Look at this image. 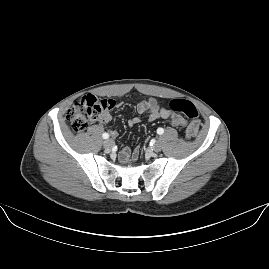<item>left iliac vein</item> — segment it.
I'll return each mask as SVG.
<instances>
[{"instance_id":"4c4485c4","label":"left iliac vein","mask_w":269,"mask_h":269,"mask_svg":"<svg viewBox=\"0 0 269 269\" xmlns=\"http://www.w3.org/2000/svg\"><path fill=\"white\" fill-rule=\"evenodd\" d=\"M153 148L156 152H160L162 150V143L159 141V139L156 141Z\"/></svg>"}]
</instances>
